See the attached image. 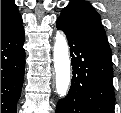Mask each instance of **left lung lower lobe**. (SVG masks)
<instances>
[{
    "instance_id": "1",
    "label": "left lung lower lobe",
    "mask_w": 121,
    "mask_h": 113,
    "mask_svg": "<svg viewBox=\"0 0 121 113\" xmlns=\"http://www.w3.org/2000/svg\"><path fill=\"white\" fill-rule=\"evenodd\" d=\"M57 28L67 36L73 77L69 93L58 102L56 113H114L111 54L60 17Z\"/></svg>"
}]
</instances>
